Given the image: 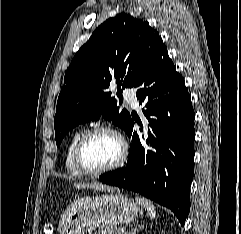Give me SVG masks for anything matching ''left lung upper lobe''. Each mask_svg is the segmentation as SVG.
<instances>
[{
	"label": "left lung upper lobe",
	"instance_id": "left-lung-upper-lobe-1",
	"mask_svg": "<svg viewBox=\"0 0 241 234\" xmlns=\"http://www.w3.org/2000/svg\"><path fill=\"white\" fill-rule=\"evenodd\" d=\"M166 48L148 22L118 14L102 23L80 48L68 67L54 117L55 140L60 145L69 130L101 116L126 130L130 114L117 107L105 89L115 78L118 95L134 87L143 72Z\"/></svg>",
	"mask_w": 241,
	"mask_h": 234
}]
</instances>
